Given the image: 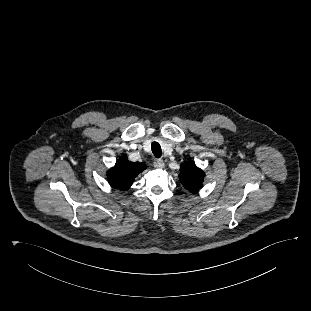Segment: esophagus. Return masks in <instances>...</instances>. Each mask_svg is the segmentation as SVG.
Returning a JSON list of instances; mask_svg holds the SVG:
<instances>
[{"label":"esophagus","instance_id":"obj_1","mask_svg":"<svg viewBox=\"0 0 311 311\" xmlns=\"http://www.w3.org/2000/svg\"><path fill=\"white\" fill-rule=\"evenodd\" d=\"M164 166H165V164H164V161H163V160H161V159H156V160L154 161V167H155V168L162 169V168H164Z\"/></svg>","mask_w":311,"mask_h":311}]
</instances>
